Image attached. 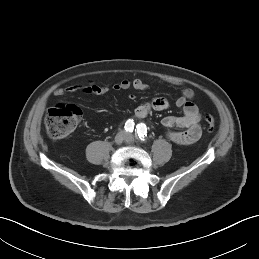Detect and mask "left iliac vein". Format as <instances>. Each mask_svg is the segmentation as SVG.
Returning a JSON list of instances; mask_svg holds the SVG:
<instances>
[{
  "label": "left iliac vein",
  "instance_id": "left-iliac-vein-1",
  "mask_svg": "<svg viewBox=\"0 0 259 259\" xmlns=\"http://www.w3.org/2000/svg\"><path fill=\"white\" fill-rule=\"evenodd\" d=\"M125 141L130 144L134 143V141H135L134 136L130 133L126 134Z\"/></svg>",
  "mask_w": 259,
  "mask_h": 259
}]
</instances>
